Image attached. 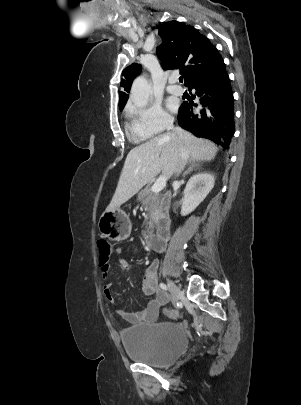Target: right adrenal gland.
Listing matches in <instances>:
<instances>
[{
	"label": "right adrenal gland",
	"instance_id": "obj_1",
	"mask_svg": "<svg viewBox=\"0 0 301 405\" xmlns=\"http://www.w3.org/2000/svg\"><path fill=\"white\" fill-rule=\"evenodd\" d=\"M201 164H202L201 161L193 162V164H191V166L183 173V177H185L187 174H189L193 170L199 168L201 166Z\"/></svg>",
	"mask_w": 301,
	"mask_h": 405
}]
</instances>
